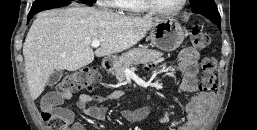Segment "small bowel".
<instances>
[{"mask_svg":"<svg viewBox=\"0 0 257 130\" xmlns=\"http://www.w3.org/2000/svg\"><path fill=\"white\" fill-rule=\"evenodd\" d=\"M198 59L199 53L193 47L184 48L178 55V67L183 76L179 88L182 92L193 94L186 105V121L178 130H197L205 118L208 106L212 101V95L198 91ZM152 66L150 65V67ZM123 95L124 92L122 90L93 95L81 94L77 100V107L92 119L106 121L107 108L104 104L112 99H119ZM69 97L49 92L42 97L40 106L43 111H53L65 115L70 123L69 130H86L70 110L58 107L63 99ZM90 103H95L96 105L90 106ZM122 115L126 120L136 123L147 118L150 115V111L148 107H142L136 110H124Z\"/></svg>","mask_w":257,"mask_h":130,"instance_id":"c3829d8e","label":"small bowel"}]
</instances>
